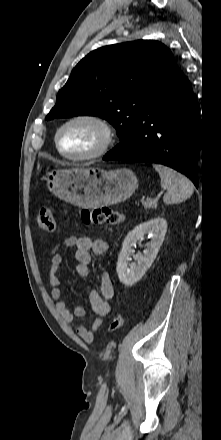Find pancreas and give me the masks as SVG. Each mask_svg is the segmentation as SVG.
Returning <instances> with one entry per match:
<instances>
[{
    "label": "pancreas",
    "mask_w": 221,
    "mask_h": 440,
    "mask_svg": "<svg viewBox=\"0 0 221 440\" xmlns=\"http://www.w3.org/2000/svg\"><path fill=\"white\" fill-rule=\"evenodd\" d=\"M142 205L145 209H156L157 208V202L153 201L151 199H148L146 201H142Z\"/></svg>",
    "instance_id": "pancreas-1"
}]
</instances>
